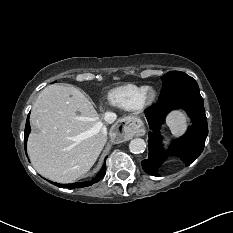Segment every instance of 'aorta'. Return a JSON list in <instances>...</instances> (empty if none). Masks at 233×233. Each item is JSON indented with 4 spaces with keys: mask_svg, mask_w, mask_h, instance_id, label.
<instances>
[{
    "mask_svg": "<svg viewBox=\"0 0 233 233\" xmlns=\"http://www.w3.org/2000/svg\"><path fill=\"white\" fill-rule=\"evenodd\" d=\"M145 149H146V143L141 138H135L131 140L129 144V150L131 153H134V154L142 153L145 151Z\"/></svg>",
    "mask_w": 233,
    "mask_h": 233,
    "instance_id": "aorta-1",
    "label": "aorta"
}]
</instances>
